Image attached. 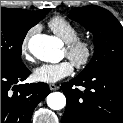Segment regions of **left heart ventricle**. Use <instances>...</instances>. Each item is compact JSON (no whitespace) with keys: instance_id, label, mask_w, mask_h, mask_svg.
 <instances>
[{"instance_id":"left-heart-ventricle-1","label":"left heart ventricle","mask_w":123,"mask_h":123,"mask_svg":"<svg viewBox=\"0 0 123 123\" xmlns=\"http://www.w3.org/2000/svg\"><path fill=\"white\" fill-rule=\"evenodd\" d=\"M64 55L67 56L66 50H64Z\"/></svg>"}]
</instances>
